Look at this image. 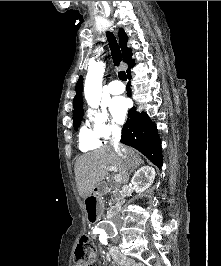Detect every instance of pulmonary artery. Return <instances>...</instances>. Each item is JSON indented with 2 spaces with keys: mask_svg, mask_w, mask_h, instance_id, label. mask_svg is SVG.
<instances>
[{
  "mask_svg": "<svg viewBox=\"0 0 221 266\" xmlns=\"http://www.w3.org/2000/svg\"><path fill=\"white\" fill-rule=\"evenodd\" d=\"M108 90L111 94L117 95L125 91V86L121 81L114 79L109 83Z\"/></svg>",
  "mask_w": 221,
  "mask_h": 266,
  "instance_id": "e3ab8cb5",
  "label": "pulmonary artery"
}]
</instances>
